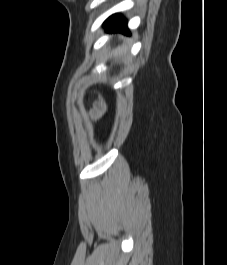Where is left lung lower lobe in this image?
<instances>
[{"instance_id":"0a47b994","label":"left lung lower lobe","mask_w":227,"mask_h":265,"mask_svg":"<svg viewBox=\"0 0 227 265\" xmlns=\"http://www.w3.org/2000/svg\"><path fill=\"white\" fill-rule=\"evenodd\" d=\"M104 25L108 32L120 31L125 34H130L127 28V22L120 14L110 16Z\"/></svg>"}]
</instances>
